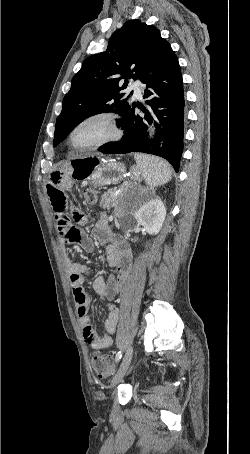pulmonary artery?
<instances>
[{
	"label": "pulmonary artery",
	"instance_id": "pulmonary-artery-1",
	"mask_svg": "<svg viewBox=\"0 0 250 454\" xmlns=\"http://www.w3.org/2000/svg\"><path fill=\"white\" fill-rule=\"evenodd\" d=\"M127 91H133L135 96L140 98L142 93H141V89H140V86H139V82L135 81L133 83H131L129 85V87L127 88Z\"/></svg>",
	"mask_w": 250,
	"mask_h": 454
}]
</instances>
